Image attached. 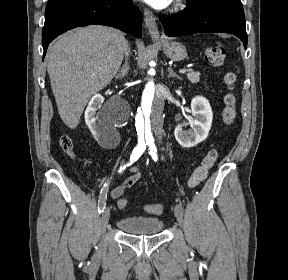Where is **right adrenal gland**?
<instances>
[{
    "instance_id": "obj_1",
    "label": "right adrenal gland",
    "mask_w": 288,
    "mask_h": 280,
    "mask_svg": "<svg viewBox=\"0 0 288 280\" xmlns=\"http://www.w3.org/2000/svg\"><path fill=\"white\" fill-rule=\"evenodd\" d=\"M129 63L126 60L125 64L120 68L119 73L115 76L116 78H122L125 77L128 74L129 71Z\"/></svg>"
}]
</instances>
